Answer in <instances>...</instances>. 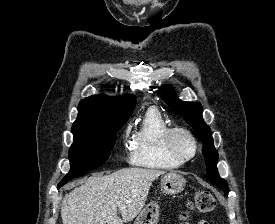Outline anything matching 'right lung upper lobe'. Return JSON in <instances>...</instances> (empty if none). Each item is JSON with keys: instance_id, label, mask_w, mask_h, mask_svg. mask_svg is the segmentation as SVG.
Listing matches in <instances>:
<instances>
[{"instance_id": "1", "label": "right lung upper lobe", "mask_w": 275, "mask_h": 224, "mask_svg": "<svg viewBox=\"0 0 275 224\" xmlns=\"http://www.w3.org/2000/svg\"><path fill=\"white\" fill-rule=\"evenodd\" d=\"M136 104L134 96L108 97L96 95L80 101L73 127L109 124L128 120Z\"/></svg>"}]
</instances>
